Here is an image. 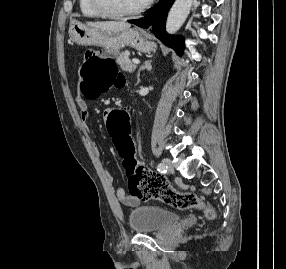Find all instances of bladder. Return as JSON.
Here are the masks:
<instances>
[{"label":"bladder","instance_id":"bladder-1","mask_svg":"<svg viewBox=\"0 0 286 269\" xmlns=\"http://www.w3.org/2000/svg\"><path fill=\"white\" fill-rule=\"evenodd\" d=\"M178 219V214L153 205L139 206L131 210L128 216L131 230L138 234L166 229L176 223Z\"/></svg>","mask_w":286,"mask_h":269}]
</instances>
